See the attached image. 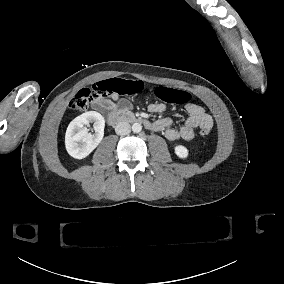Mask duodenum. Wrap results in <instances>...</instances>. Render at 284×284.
Masks as SVG:
<instances>
[{
    "label": "duodenum",
    "mask_w": 284,
    "mask_h": 284,
    "mask_svg": "<svg viewBox=\"0 0 284 284\" xmlns=\"http://www.w3.org/2000/svg\"><path fill=\"white\" fill-rule=\"evenodd\" d=\"M107 121L110 125H119L122 123H143L146 127H148V122L137 117L129 112H117L112 111L107 114Z\"/></svg>",
    "instance_id": "obj_1"
}]
</instances>
